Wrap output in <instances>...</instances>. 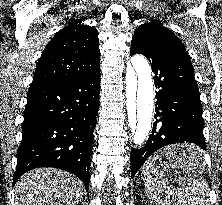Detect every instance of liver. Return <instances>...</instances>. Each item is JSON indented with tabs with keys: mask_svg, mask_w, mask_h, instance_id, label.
I'll list each match as a JSON object with an SVG mask.
<instances>
[{
	"mask_svg": "<svg viewBox=\"0 0 222 205\" xmlns=\"http://www.w3.org/2000/svg\"><path fill=\"white\" fill-rule=\"evenodd\" d=\"M84 185L63 170L39 168L25 173L15 185V205H76Z\"/></svg>",
	"mask_w": 222,
	"mask_h": 205,
	"instance_id": "6515ba94",
	"label": "liver"
}]
</instances>
